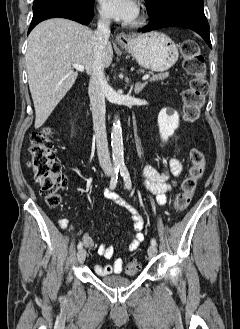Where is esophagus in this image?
I'll return each instance as SVG.
<instances>
[{
	"label": "esophagus",
	"mask_w": 240,
	"mask_h": 329,
	"mask_svg": "<svg viewBox=\"0 0 240 329\" xmlns=\"http://www.w3.org/2000/svg\"><path fill=\"white\" fill-rule=\"evenodd\" d=\"M116 41L120 46L126 47L131 43V36L125 33H120L116 35Z\"/></svg>",
	"instance_id": "1"
}]
</instances>
